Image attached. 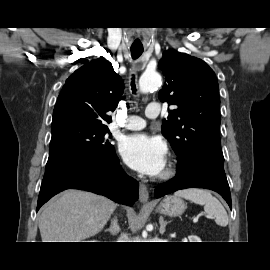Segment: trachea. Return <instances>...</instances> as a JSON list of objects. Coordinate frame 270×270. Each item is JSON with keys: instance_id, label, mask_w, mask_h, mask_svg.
I'll return each mask as SVG.
<instances>
[{"instance_id": "trachea-1", "label": "trachea", "mask_w": 270, "mask_h": 270, "mask_svg": "<svg viewBox=\"0 0 270 270\" xmlns=\"http://www.w3.org/2000/svg\"><path fill=\"white\" fill-rule=\"evenodd\" d=\"M143 53V48H131V55L133 59L139 58ZM132 90L133 93L136 92V87H135V82H134V77L132 78L131 82Z\"/></svg>"}]
</instances>
